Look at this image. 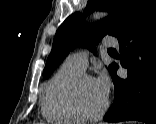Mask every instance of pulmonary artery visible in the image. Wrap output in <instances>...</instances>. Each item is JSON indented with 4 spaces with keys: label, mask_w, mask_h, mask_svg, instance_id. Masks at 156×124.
<instances>
[{
    "label": "pulmonary artery",
    "mask_w": 156,
    "mask_h": 124,
    "mask_svg": "<svg viewBox=\"0 0 156 124\" xmlns=\"http://www.w3.org/2000/svg\"><path fill=\"white\" fill-rule=\"evenodd\" d=\"M103 45L106 47L117 46L118 41L115 38H105L103 41ZM88 50H80L75 53L70 54L66 60L65 64L68 66L77 69L80 72H83L88 65Z\"/></svg>",
    "instance_id": "1"
}]
</instances>
